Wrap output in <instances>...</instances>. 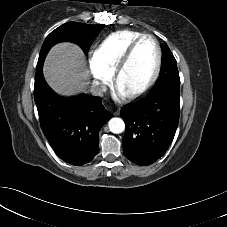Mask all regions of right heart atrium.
Instances as JSON below:
<instances>
[{"instance_id":"right-heart-atrium-1","label":"right heart atrium","mask_w":227,"mask_h":227,"mask_svg":"<svg viewBox=\"0 0 227 227\" xmlns=\"http://www.w3.org/2000/svg\"><path fill=\"white\" fill-rule=\"evenodd\" d=\"M88 67L92 78L93 85L99 89L104 90L110 83L111 73H109L96 59L91 55L88 59Z\"/></svg>"}]
</instances>
